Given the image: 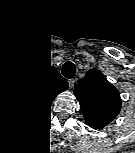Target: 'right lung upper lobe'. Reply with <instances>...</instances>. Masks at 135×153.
<instances>
[{"label": "right lung upper lobe", "mask_w": 135, "mask_h": 153, "mask_svg": "<svg viewBox=\"0 0 135 153\" xmlns=\"http://www.w3.org/2000/svg\"><path fill=\"white\" fill-rule=\"evenodd\" d=\"M57 79L54 71L47 69L35 72L25 79L23 95L32 111L46 106L52 96L67 88L65 79Z\"/></svg>", "instance_id": "obj_1"}]
</instances>
